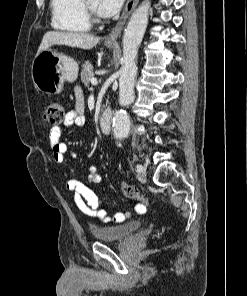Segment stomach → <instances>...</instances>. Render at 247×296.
<instances>
[{
  "label": "stomach",
  "mask_w": 247,
  "mask_h": 296,
  "mask_svg": "<svg viewBox=\"0 0 247 296\" xmlns=\"http://www.w3.org/2000/svg\"><path fill=\"white\" fill-rule=\"evenodd\" d=\"M112 48V44H105ZM78 63L50 48L41 51L32 62L31 75L37 90L48 95L59 94L65 81L73 82L78 75Z\"/></svg>",
  "instance_id": "1"
}]
</instances>
